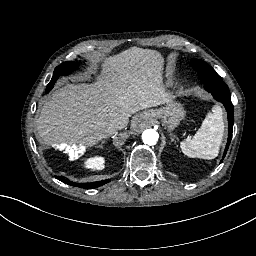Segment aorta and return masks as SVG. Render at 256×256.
Instances as JSON below:
<instances>
[{"instance_id": "762f6f07", "label": "aorta", "mask_w": 256, "mask_h": 256, "mask_svg": "<svg viewBox=\"0 0 256 256\" xmlns=\"http://www.w3.org/2000/svg\"><path fill=\"white\" fill-rule=\"evenodd\" d=\"M142 140L146 145H156L159 140V133L155 129H146L142 133Z\"/></svg>"}]
</instances>
